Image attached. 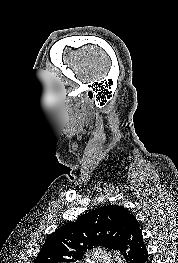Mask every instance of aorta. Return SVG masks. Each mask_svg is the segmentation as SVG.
I'll use <instances>...</instances> for the list:
<instances>
[{
    "mask_svg": "<svg viewBox=\"0 0 178 263\" xmlns=\"http://www.w3.org/2000/svg\"><path fill=\"white\" fill-rule=\"evenodd\" d=\"M114 257L117 263H124V259L119 252H114Z\"/></svg>",
    "mask_w": 178,
    "mask_h": 263,
    "instance_id": "obj_1",
    "label": "aorta"
}]
</instances>
